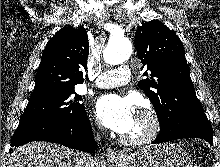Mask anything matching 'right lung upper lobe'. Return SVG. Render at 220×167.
<instances>
[{"label": "right lung upper lobe", "instance_id": "1", "mask_svg": "<svg viewBox=\"0 0 220 167\" xmlns=\"http://www.w3.org/2000/svg\"><path fill=\"white\" fill-rule=\"evenodd\" d=\"M89 43L84 27L66 26L46 44L30 98L63 91L83 82Z\"/></svg>", "mask_w": 220, "mask_h": 167}]
</instances>
